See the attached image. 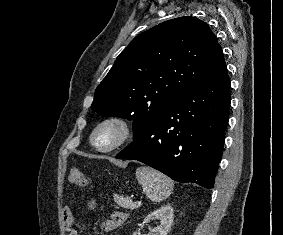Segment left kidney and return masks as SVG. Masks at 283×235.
I'll use <instances>...</instances> for the list:
<instances>
[{"label": "left kidney", "instance_id": "left-kidney-1", "mask_svg": "<svg viewBox=\"0 0 283 235\" xmlns=\"http://www.w3.org/2000/svg\"><path fill=\"white\" fill-rule=\"evenodd\" d=\"M160 219V225L153 229L151 234L147 235H167L171 229V225L174 219L173 208L170 205L162 206L161 208L151 212L144 218V223H148L151 220ZM133 235H141L139 230L134 232ZM146 235V234H145Z\"/></svg>", "mask_w": 283, "mask_h": 235}]
</instances>
